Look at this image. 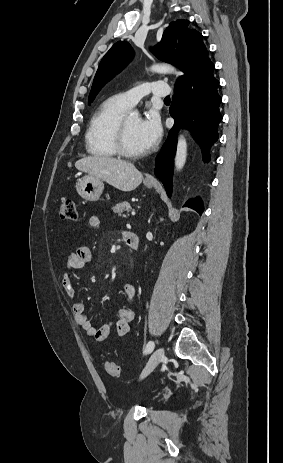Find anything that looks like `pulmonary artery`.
<instances>
[{
	"instance_id": "1",
	"label": "pulmonary artery",
	"mask_w": 283,
	"mask_h": 463,
	"mask_svg": "<svg viewBox=\"0 0 283 463\" xmlns=\"http://www.w3.org/2000/svg\"><path fill=\"white\" fill-rule=\"evenodd\" d=\"M169 93L170 88L167 83L163 81H153L134 87L128 91L118 94L117 96L126 107L131 108L149 94L166 98L169 96Z\"/></svg>"
}]
</instances>
